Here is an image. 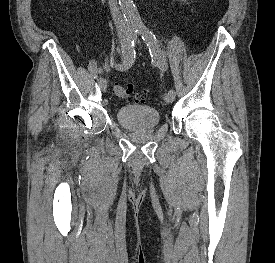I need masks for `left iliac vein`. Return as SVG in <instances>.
Returning a JSON list of instances; mask_svg holds the SVG:
<instances>
[{
  "mask_svg": "<svg viewBox=\"0 0 275 263\" xmlns=\"http://www.w3.org/2000/svg\"><path fill=\"white\" fill-rule=\"evenodd\" d=\"M164 100L167 103H172L175 100V94L174 93H165L164 94Z\"/></svg>",
  "mask_w": 275,
  "mask_h": 263,
  "instance_id": "4c4485c4",
  "label": "left iliac vein"
}]
</instances>
